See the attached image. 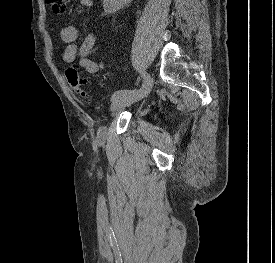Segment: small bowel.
<instances>
[{
  "instance_id": "small-bowel-1",
  "label": "small bowel",
  "mask_w": 275,
  "mask_h": 263,
  "mask_svg": "<svg viewBox=\"0 0 275 263\" xmlns=\"http://www.w3.org/2000/svg\"><path fill=\"white\" fill-rule=\"evenodd\" d=\"M79 5L83 9L90 8L93 0H79ZM78 37V28L73 24H68L61 29V39L67 44L63 52V61L72 64L77 60L78 66L88 74H97L100 65L89 57L96 43L95 34H87L80 43Z\"/></svg>"
}]
</instances>
